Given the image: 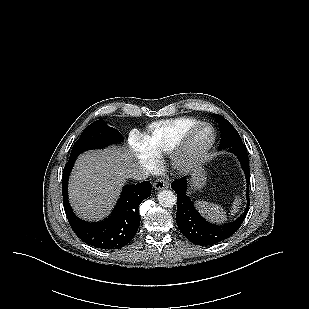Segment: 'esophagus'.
Masks as SVG:
<instances>
[{
  "instance_id": "1",
  "label": "esophagus",
  "mask_w": 309,
  "mask_h": 309,
  "mask_svg": "<svg viewBox=\"0 0 309 309\" xmlns=\"http://www.w3.org/2000/svg\"><path fill=\"white\" fill-rule=\"evenodd\" d=\"M155 190H162L169 187V182L165 179H157L153 184Z\"/></svg>"
}]
</instances>
